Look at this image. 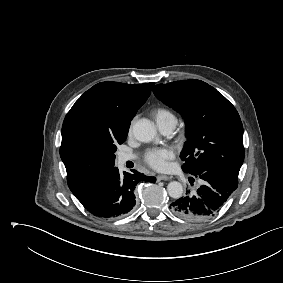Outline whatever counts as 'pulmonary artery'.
Returning a JSON list of instances; mask_svg holds the SVG:
<instances>
[{"mask_svg":"<svg viewBox=\"0 0 283 283\" xmlns=\"http://www.w3.org/2000/svg\"><path fill=\"white\" fill-rule=\"evenodd\" d=\"M157 126L161 133L164 135H170L175 129L176 121L172 119L160 121L157 122ZM135 157L136 156L134 154L122 153L118 156V164L120 166L124 165L127 161L135 159Z\"/></svg>","mask_w":283,"mask_h":283,"instance_id":"obj_1","label":"pulmonary artery"}]
</instances>
